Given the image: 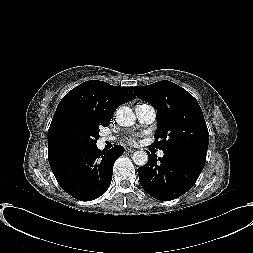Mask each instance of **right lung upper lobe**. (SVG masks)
<instances>
[{"label": "right lung upper lobe", "mask_w": 253, "mask_h": 253, "mask_svg": "<svg viewBox=\"0 0 253 253\" xmlns=\"http://www.w3.org/2000/svg\"><path fill=\"white\" fill-rule=\"evenodd\" d=\"M136 98L131 87L112 86L99 80L86 81L69 91L60 101L48 131V154L60 151L52 144V133L65 117L77 116L109 126L115 110Z\"/></svg>", "instance_id": "right-lung-upper-lobe-1"}]
</instances>
